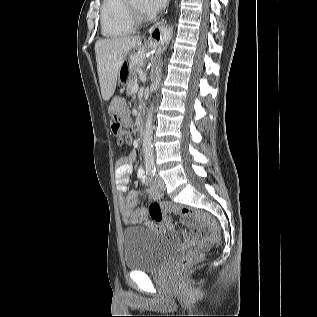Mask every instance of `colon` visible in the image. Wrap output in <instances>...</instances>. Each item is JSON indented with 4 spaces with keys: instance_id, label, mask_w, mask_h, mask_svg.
<instances>
[{
    "instance_id": "colon-1",
    "label": "colon",
    "mask_w": 317,
    "mask_h": 317,
    "mask_svg": "<svg viewBox=\"0 0 317 317\" xmlns=\"http://www.w3.org/2000/svg\"><path fill=\"white\" fill-rule=\"evenodd\" d=\"M108 114L112 133L120 143L128 142L130 132V118L125 101L122 98H114L108 106ZM150 218L156 222L165 220L168 213L180 215L185 221L198 220L206 225L200 238L178 259L175 269L184 272L199 263L204 254L219 240V228L216 221L208 214L180 207L167 202H153L148 208Z\"/></svg>"
}]
</instances>
